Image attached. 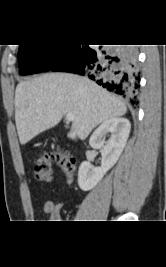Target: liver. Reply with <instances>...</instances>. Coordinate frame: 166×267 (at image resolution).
<instances>
[{
	"instance_id": "obj_1",
	"label": "liver",
	"mask_w": 166,
	"mask_h": 267,
	"mask_svg": "<svg viewBox=\"0 0 166 267\" xmlns=\"http://www.w3.org/2000/svg\"><path fill=\"white\" fill-rule=\"evenodd\" d=\"M123 101L85 77L48 73L21 81L15 91V122L20 143L74 114L68 138L85 139L100 123L124 115Z\"/></svg>"
}]
</instances>
